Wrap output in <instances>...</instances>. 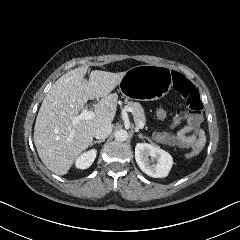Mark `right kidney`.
<instances>
[{"instance_id": "right-kidney-1", "label": "right kidney", "mask_w": 240, "mask_h": 240, "mask_svg": "<svg viewBox=\"0 0 240 240\" xmlns=\"http://www.w3.org/2000/svg\"><path fill=\"white\" fill-rule=\"evenodd\" d=\"M97 150L91 149L88 152L83 153L76 159L75 165L78 169L89 168L96 158Z\"/></svg>"}]
</instances>
